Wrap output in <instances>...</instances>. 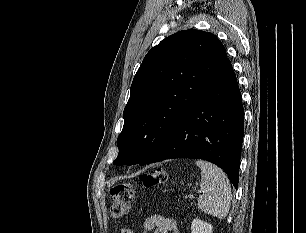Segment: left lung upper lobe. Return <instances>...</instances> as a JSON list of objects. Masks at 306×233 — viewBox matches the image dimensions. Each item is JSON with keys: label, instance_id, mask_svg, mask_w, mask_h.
I'll return each instance as SVG.
<instances>
[{"label": "left lung upper lobe", "instance_id": "5c2ea615", "mask_svg": "<svg viewBox=\"0 0 306 233\" xmlns=\"http://www.w3.org/2000/svg\"><path fill=\"white\" fill-rule=\"evenodd\" d=\"M227 59L215 35L195 29L153 47L133 79L113 164H146Z\"/></svg>", "mask_w": 306, "mask_h": 233}]
</instances>
